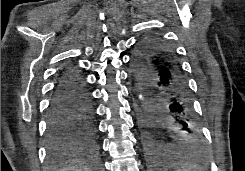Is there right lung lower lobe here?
Returning a JSON list of instances; mask_svg holds the SVG:
<instances>
[{"mask_svg":"<svg viewBox=\"0 0 245 171\" xmlns=\"http://www.w3.org/2000/svg\"><path fill=\"white\" fill-rule=\"evenodd\" d=\"M47 134L50 157L73 147H90L96 136L95 111L86 82L73 64L64 66L50 101Z\"/></svg>","mask_w":245,"mask_h":171,"instance_id":"1","label":"right lung lower lobe"}]
</instances>
